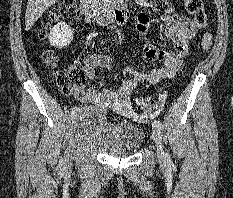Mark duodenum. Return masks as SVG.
Returning <instances> with one entry per match:
<instances>
[{
  "instance_id": "1",
  "label": "duodenum",
  "mask_w": 233,
  "mask_h": 198,
  "mask_svg": "<svg viewBox=\"0 0 233 198\" xmlns=\"http://www.w3.org/2000/svg\"><path fill=\"white\" fill-rule=\"evenodd\" d=\"M80 12L97 24H124L130 17L127 7L103 9L98 7L94 0H80Z\"/></svg>"
}]
</instances>
